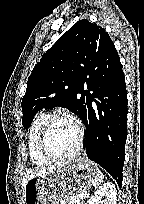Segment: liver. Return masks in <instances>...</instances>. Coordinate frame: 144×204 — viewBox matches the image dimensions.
Masks as SVG:
<instances>
[{
	"mask_svg": "<svg viewBox=\"0 0 144 204\" xmlns=\"http://www.w3.org/2000/svg\"><path fill=\"white\" fill-rule=\"evenodd\" d=\"M58 167V166H57ZM56 166H50V167H36L34 169H29L26 174L24 175L23 177V180H22V189L24 191V187L26 185V183L31 179V178H34V177H37V176H43V175H46L48 174L49 172L55 170L57 168Z\"/></svg>",
	"mask_w": 144,
	"mask_h": 204,
	"instance_id": "6515ba94",
	"label": "liver"
}]
</instances>
